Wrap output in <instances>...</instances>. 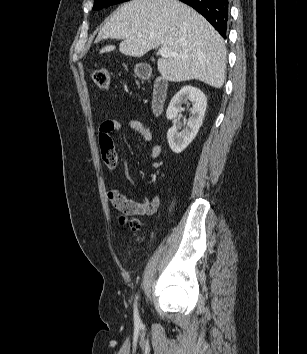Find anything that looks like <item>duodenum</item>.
<instances>
[{
    "mask_svg": "<svg viewBox=\"0 0 307 354\" xmlns=\"http://www.w3.org/2000/svg\"><path fill=\"white\" fill-rule=\"evenodd\" d=\"M143 77L147 76L146 71H142ZM168 95V83L163 78H156L153 84V92L151 98V109L154 115L158 116L162 113Z\"/></svg>",
    "mask_w": 307,
    "mask_h": 354,
    "instance_id": "1",
    "label": "duodenum"
}]
</instances>
